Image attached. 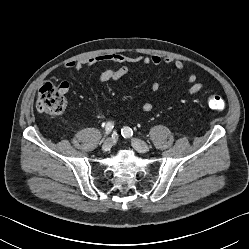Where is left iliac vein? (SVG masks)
I'll return each mask as SVG.
<instances>
[{"label":"left iliac vein","instance_id":"obj_1","mask_svg":"<svg viewBox=\"0 0 249 249\" xmlns=\"http://www.w3.org/2000/svg\"><path fill=\"white\" fill-rule=\"evenodd\" d=\"M131 144H132L133 148L136 151H138L139 153H146L149 150L148 145L140 139L133 138L131 141Z\"/></svg>","mask_w":249,"mask_h":249}]
</instances>
